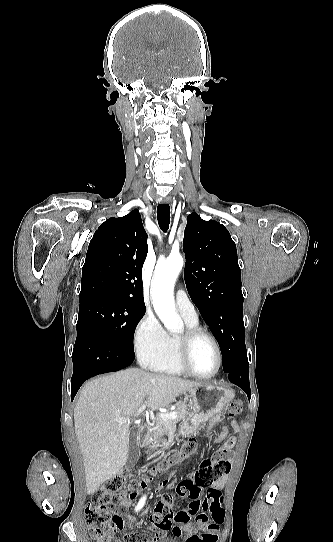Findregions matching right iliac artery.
<instances>
[{"mask_svg": "<svg viewBox=\"0 0 333 542\" xmlns=\"http://www.w3.org/2000/svg\"><path fill=\"white\" fill-rule=\"evenodd\" d=\"M145 500H146V496L141 498V500L139 501V503H138V505L136 507V511L140 510L144 506Z\"/></svg>", "mask_w": 333, "mask_h": 542, "instance_id": "82829eb1", "label": "right iliac artery"}]
</instances>
